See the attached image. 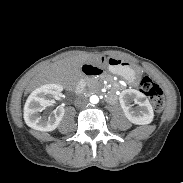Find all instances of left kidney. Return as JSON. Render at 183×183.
Segmentation results:
<instances>
[{
  "label": "left kidney",
  "instance_id": "1",
  "mask_svg": "<svg viewBox=\"0 0 183 183\" xmlns=\"http://www.w3.org/2000/svg\"><path fill=\"white\" fill-rule=\"evenodd\" d=\"M119 102L126 118L133 124H150L154 118L153 108L144 94L135 89L123 90L119 96ZM132 102L138 105L132 108Z\"/></svg>",
  "mask_w": 183,
  "mask_h": 183
}]
</instances>
